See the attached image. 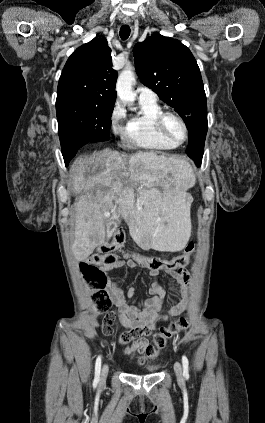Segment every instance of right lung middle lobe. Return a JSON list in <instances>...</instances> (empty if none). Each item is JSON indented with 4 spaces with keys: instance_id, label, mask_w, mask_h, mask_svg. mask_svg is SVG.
<instances>
[{
    "instance_id": "1",
    "label": "right lung middle lobe",
    "mask_w": 265,
    "mask_h": 423,
    "mask_svg": "<svg viewBox=\"0 0 265 423\" xmlns=\"http://www.w3.org/2000/svg\"><path fill=\"white\" fill-rule=\"evenodd\" d=\"M58 134L65 164L88 142L110 139L113 107L80 100L56 101ZM80 141L81 145L74 144Z\"/></svg>"
}]
</instances>
